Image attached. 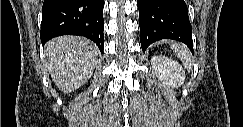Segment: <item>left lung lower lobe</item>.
<instances>
[{"mask_svg":"<svg viewBox=\"0 0 243 127\" xmlns=\"http://www.w3.org/2000/svg\"><path fill=\"white\" fill-rule=\"evenodd\" d=\"M141 47L161 39L183 42L193 53L192 26L184 0H137Z\"/></svg>","mask_w":243,"mask_h":127,"instance_id":"0a47b994","label":"left lung lower lobe"}]
</instances>
